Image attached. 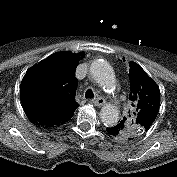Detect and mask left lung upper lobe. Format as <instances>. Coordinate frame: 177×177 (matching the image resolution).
Segmentation results:
<instances>
[{"instance_id":"obj_1","label":"left lung upper lobe","mask_w":177,"mask_h":177,"mask_svg":"<svg viewBox=\"0 0 177 177\" xmlns=\"http://www.w3.org/2000/svg\"><path fill=\"white\" fill-rule=\"evenodd\" d=\"M130 94L132 109L129 117L120 121L116 126L120 130L118 140L128 137H141L152 126L160 105V91L156 83L145 71L134 62H129Z\"/></svg>"}]
</instances>
